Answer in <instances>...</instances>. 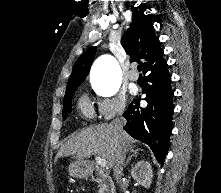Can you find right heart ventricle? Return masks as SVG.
<instances>
[{
	"label": "right heart ventricle",
	"instance_id": "right-heart-ventricle-1",
	"mask_svg": "<svg viewBox=\"0 0 221 193\" xmlns=\"http://www.w3.org/2000/svg\"><path fill=\"white\" fill-rule=\"evenodd\" d=\"M79 109H80L82 115L85 118H92V116H93V108L85 100H83V99L80 100V102H79Z\"/></svg>",
	"mask_w": 221,
	"mask_h": 193
}]
</instances>
